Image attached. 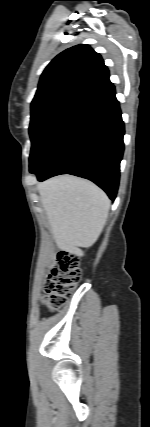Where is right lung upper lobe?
Masks as SVG:
<instances>
[{
    "mask_svg": "<svg viewBox=\"0 0 150 427\" xmlns=\"http://www.w3.org/2000/svg\"><path fill=\"white\" fill-rule=\"evenodd\" d=\"M100 54L89 45L71 47L45 68L31 112L56 105L82 108L113 89Z\"/></svg>",
    "mask_w": 150,
    "mask_h": 427,
    "instance_id": "right-lung-upper-lobe-1",
    "label": "right lung upper lobe"
}]
</instances>
